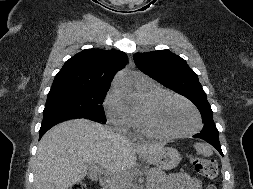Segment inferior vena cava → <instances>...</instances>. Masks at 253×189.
<instances>
[{"mask_svg": "<svg viewBox=\"0 0 253 189\" xmlns=\"http://www.w3.org/2000/svg\"><path fill=\"white\" fill-rule=\"evenodd\" d=\"M128 179L126 177H123L122 175H116L112 176L109 188L110 189H124L125 186L128 184Z\"/></svg>", "mask_w": 253, "mask_h": 189, "instance_id": "obj_1", "label": "inferior vena cava"}]
</instances>
